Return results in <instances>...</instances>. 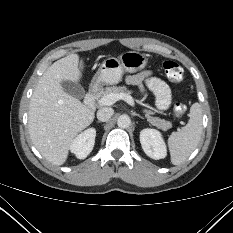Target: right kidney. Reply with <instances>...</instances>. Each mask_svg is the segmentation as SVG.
<instances>
[{
	"label": "right kidney",
	"instance_id": "right-kidney-1",
	"mask_svg": "<svg viewBox=\"0 0 233 233\" xmlns=\"http://www.w3.org/2000/svg\"><path fill=\"white\" fill-rule=\"evenodd\" d=\"M96 130L89 128L73 139L70 150L78 159L86 158L93 150Z\"/></svg>",
	"mask_w": 233,
	"mask_h": 233
}]
</instances>
